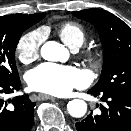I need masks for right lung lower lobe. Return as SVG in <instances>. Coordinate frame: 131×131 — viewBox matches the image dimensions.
<instances>
[{"mask_svg": "<svg viewBox=\"0 0 131 131\" xmlns=\"http://www.w3.org/2000/svg\"><path fill=\"white\" fill-rule=\"evenodd\" d=\"M19 87V76L0 79V131H30L33 126L36 103L31 102L28 95L17 96L8 101L3 98L5 94L18 91Z\"/></svg>", "mask_w": 131, "mask_h": 131, "instance_id": "obj_1", "label": "right lung lower lobe"}]
</instances>
